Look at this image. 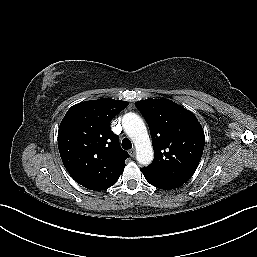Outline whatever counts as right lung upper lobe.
Returning a JSON list of instances; mask_svg holds the SVG:
<instances>
[{"label": "right lung upper lobe", "instance_id": "cb5924a9", "mask_svg": "<svg viewBox=\"0 0 257 257\" xmlns=\"http://www.w3.org/2000/svg\"><path fill=\"white\" fill-rule=\"evenodd\" d=\"M128 102L102 98L72 106L61 121L58 149L71 177L91 190L114 185L125 167L128 153L110 129L112 118Z\"/></svg>", "mask_w": 257, "mask_h": 257}]
</instances>
